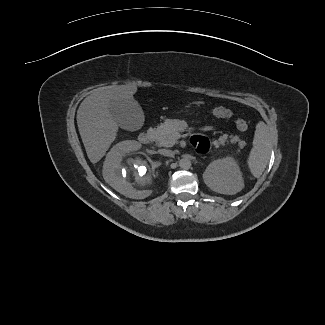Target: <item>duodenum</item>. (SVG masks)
<instances>
[{
  "mask_svg": "<svg viewBox=\"0 0 325 325\" xmlns=\"http://www.w3.org/2000/svg\"><path fill=\"white\" fill-rule=\"evenodd\" d=\"M155 131L154 130H148L146 132H143L139 135V141L142 144H149L153 141L155 138Z\"/></svg>",
  "mask_w": 325,
  "mask_h": 325,
  "instance_id": "duodenum-1",
  "label": "duodenum"
}]
</instances>
